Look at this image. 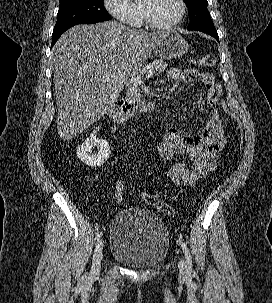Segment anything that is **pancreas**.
I'll return each mask as SVG.
<instances>
[{"mask_svg": "<svg viewBox=\"0 0 272 303\" xmlns=\"http://www.w3.org/2000/svg\"><path fill=\"white\" fill-rule=\"evenodd\" d=\"M167 67V63H165L162 59H157L150 63L148 65V68L150 70H153V72H156V74L162 73ZM142 95V91L139 87V85H131L129 84V88L127 91V98L132 100V99H138Z\"/></svg>", "mask_w": 272, "mask_h": 303, "instance_id": "obj_1", "label": "pancreas"}]
</instances>
